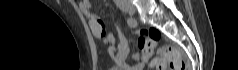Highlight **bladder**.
Here are the masks:
<instances>
[{
    "mask_svg": "<svg viewBox=\"0 0 238 70\" xmlns=\"http://www.w3.org/2000/svg\"><path fill=\"white\" fill-rule=\"evenodd\" d=\"M110 70H118V69H116L115 67H113V68H111Z\"/></svg>",
    "mask_w": 238,
    "mask_h": 70,
    "instance_id": "31cf9c89",
    "label": "bladder"
}]
</instances>
